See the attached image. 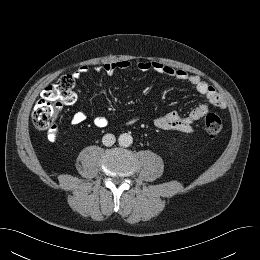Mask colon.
Instances as JSON below:
<instances>
[{"label": "colon", "instance_id": "obj_1", "mask_svg": "<svg viewBox=\"0 0 260 260\" xmlns=\"http://www.w3.org/2000/svg\"><path fill=\"white\" fill-rule=\"evenodd\" d=\"M76 100L75 80L71 75H63L51 83L43 91L41 98L35 105L32 114L36 128L50 133L56 132V119L63 106ZM204 127L208 134L218 135L222 130V121L219 115L209 113L204 119Z\"/></svg>", "mask_w": 260, "mask_h": 260}]
</instances>
